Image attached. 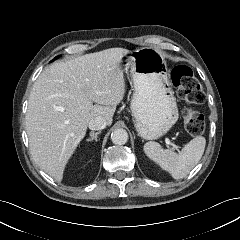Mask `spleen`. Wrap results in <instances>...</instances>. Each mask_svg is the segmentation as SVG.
<instances>
[{
    "label": "spleen",
    "mask_w": 240,
    "mask_h": 240,
    "mask_svg": "<svg viewBox=\"0 0 240 240\" xmlns=\"http://www.w3.org/2000/svg\"><path fill=\"white\" fill-rule=\"evenodd\" d=\"M206 145V139L197 136L187 143L181 152L175 153L169 149H163L157 142H147L144 145L145 154L168 171L174 179H182L200 161Z\"/></svg>",
    "instance_id": "spleen-1"
}]
</instances>
